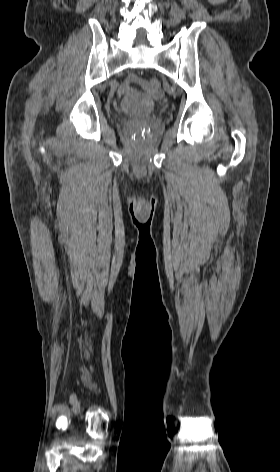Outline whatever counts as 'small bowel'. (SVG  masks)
<instances>
[{"label":"small bowel","mask_w":280,"mask_h":472,"mask_svg":"<svg viewBox=\"0 0 280 472\" xmlns=\"http://www.w3.org/2000/svg\"><path fill=\"white\" fill-rule=\"evenodd\" d=\"M132 84H138L142 87H148L147 82L136 75H129L121 86V92L127 93L131 90Z\"/></svg>","instance_id":"obj_1"}]
</instances>
